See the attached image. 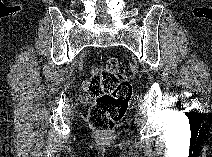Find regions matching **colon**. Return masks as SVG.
<instances>
[{"mask_svg":"<svg viewBox=\"0 0 212 157\" xmlns=\"http://www.w3.org/2000/svg\"><path fill=\"white\" fill-rule=\"evenodd\" d=\"M86 89L96 98L88 114L90 125L102 136H108L128 109L132 86L117 57H108L100 68H94Z\"/></svg>","mask_w":212,"mask_h":157,"instance_id":"1","label":"colon"}]
</instances>
